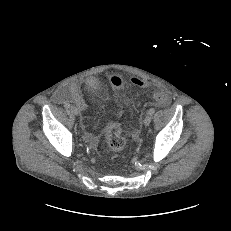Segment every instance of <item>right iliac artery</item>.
<instances>
[{
    "mask_svg": "<svg viewBox=\"0 0 231 231\" xmlns=\"http://www.w3.org/2000/svg\"><path fill=\"white\" fill-rule=\"evenodd\" d=\"M64 107L65 108H70V104L69 103H65Z\"/></svg>",
    "mask_w": 231,
    "mask_h": 231,
    "instance_id": "1",
    "label": "right iliac artery"
}]
</instances>
